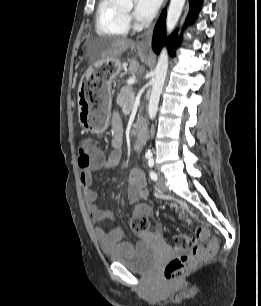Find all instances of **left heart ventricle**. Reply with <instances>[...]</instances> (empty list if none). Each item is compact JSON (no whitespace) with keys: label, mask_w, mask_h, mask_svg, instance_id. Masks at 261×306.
Returning <instances> with one entry per match:
<instances>
[{"label":"left heart ventricle","mask_w":261,"mask_h":306,"mask_svg":"<svg viewBox=\"0 0 261 306\" xmlns=\"http://www.w3.org/2000/svg\"><path fill=\"white\" fill-rule=\"evenodd\" d=\"M131 8H132V7H131V6H129V7H126V8H125V10H126V11H130V10H131Z\"/></svg>","instance_id":"left-heart-ventricle-1"}]
</instances>
